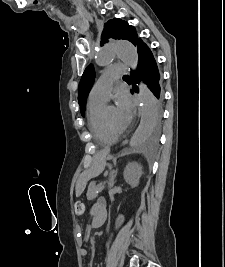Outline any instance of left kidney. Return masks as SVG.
I'll list each match as a JSON object with an SVG mask.
<instances>
[{
	"label": "left kidney",
	"instance_id": "obj_1",
	"mask_svg": "<svg viewBox=\"0 0 225 267\" xmlns=\"http://www.w3.org/2000/svg\"><path fill=\"white\" fill-rule=\"evenodd\" d=\"M124 179L133 188L137 187L142 176V167L137 162L129 163L124 169Z\"/></svg>",
	"mask_w": 225,
	"mask_h": 267
}]
</instances>
